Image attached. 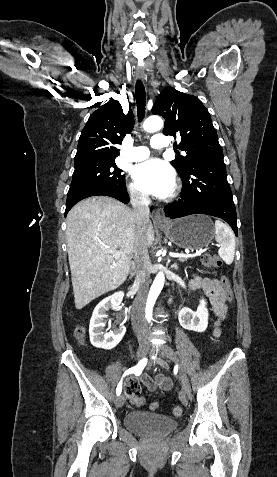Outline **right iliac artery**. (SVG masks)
Segmentation results:
<instances>
[{
  "mask_svg": "<svg viewBox=\"0 0 277 477\" xmlns=\"http://www.w3.org/2000/svg\"><path fill=\"white\" fill-rule=\"evenodd\" d=\"M146 364H147V359L144 358V359H142L136 366H134V367L128 369V370L124 373L123 377L126 376V375H128V374H130V373L140 374ZM121 391H122V380L119 382V384H118V386H117V388H116V394H117V395H120V394H121Z\"/></svg>",
  "mask_w": 277,
  "mask_h": 477,
  "instance_id": "82829eb1",
  "label": "right iliac artery"
}]
</instances>
